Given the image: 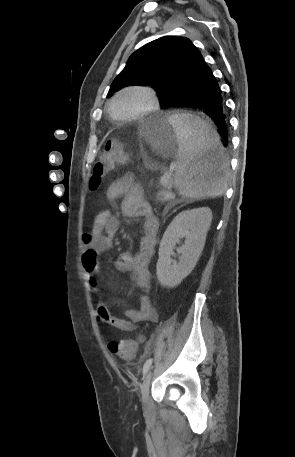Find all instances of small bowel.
Instances as JSON below:
<instances>
[{
	"label": "small bowel",
	"instance_id": "1",
	"mask_svg": "<svg viewBox=\"0 0 295 457\" xmlns=\"http://www.w3.org/2000/svg\"><path fill=\"white\" fill-rule=\"evenodd\" d=\"M110 200L122 198L121 210L127 217L142 218L143 237L137 254L123 253L116 261V268L130 272L135 287L141 292L139 308L126 309L124 317L111 313L106 304L97 309L98 320L121 331H133L143 322H157L159 315L148 293L150 291L149 264L157 244L158 221L152 213L149 203L143 198L140 187L132 175H124L107 189ZM119 228V221L109 210H101L94 218L93 225L83 236L84 251L82 268L89 288L97 294H105V288L98 274V257L111 249L113 238Z\"/></svg>",
	"mask_w": 295,
	"mask_h": 457
}]
</instances>
